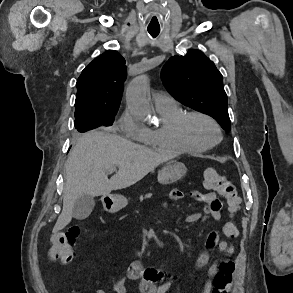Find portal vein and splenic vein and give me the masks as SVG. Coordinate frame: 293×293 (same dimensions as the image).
I'll return each mask as SVG.
<instances>
[{
    "label": "portal vein and splenic vein",
    "instance_id": "18ae733b",
    "mask_svg": "<svg viewBox=\"0 0 293 293\" xmlns=\"http://www.w3.org/2000/svg\"><path fill=\"white\" fill-rule=\"evenodd\" d=\"M116 170V168L114 167V168H112L111 170H110V172H113V171H115Z\"/></svg>",
    "mask_w": 293,
    "mask_h": 293
}]
</instances>
